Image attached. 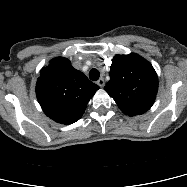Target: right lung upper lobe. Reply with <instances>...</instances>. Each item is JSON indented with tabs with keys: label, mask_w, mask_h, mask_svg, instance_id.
<instances>
[{
	"label": "right lung upper lobe",
	"mask_w": 187,
	"mask_h": 187,
	"mask_svg": "<svg viewBox=\"0 0 187 187\" xmlns=\"http://www.w3.org/2000/svg\"><path fill=\"white\" fill-rule=\"evenodd\" d=\"M40 73L36 83L38 102L49 118L61 124L80 119L99 89L64 57L52 59Z\"/></svg>",
	"instance_id": "obj_1"
}]
</instances>
